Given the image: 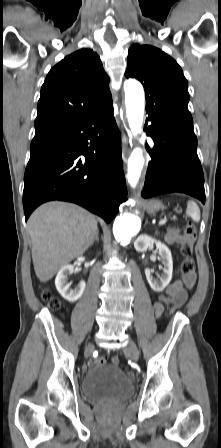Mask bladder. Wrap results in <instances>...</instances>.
<instances>
[{
    "label": "bladder",
    "instance_id": "bladder-1",
    "mask_svg": "<svg viewBox=\"0 0 221 448\" xmlns=\"http://www.w3.org/2000/svg\"><path fill=\"white\" fill-rule=\"evenodd\" d=\"M81 386L84 396L94 401L122 402L134 392L132 380L119 367L108 364L85 373Z\"/></svg>",
    "mask_w": 221,
    "mask_h": 448
}]
</instances>
